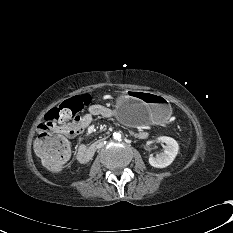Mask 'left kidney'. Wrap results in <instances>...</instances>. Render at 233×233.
Wrapping results in <instances>:
<instances>
[{
    "instance_id": "left-kidney-1",
    "label": "left kidney",
    "mask_w": 233,
    "mask_h": 233,
    "mask_svg": "<svg viewBox=\"0 0 233 233\" xmlns=\"http://www.w3.org/2000/svg\"><path fill=\"white\" fill-rule=\"evenodd\" d=\"M157 140L165 143L164 152L158 154L156 157L150 155L149 164L155 168H165L169 166L178 154L179 145L177 141L171 137L162 136Z\"/></svg>"
}]
</instances>
